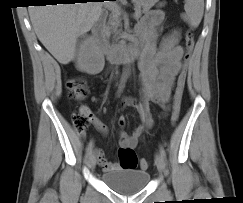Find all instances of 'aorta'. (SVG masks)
Masks as SVG:
<instances>
[{
    "instance_id": "aorta-1",
    "label": "aorta",
    "mask_w": 243,
    "mask_h": 203,
    "mask_svg": "<svg viewBox=\"0 0 243 203\" xmlns=\"http://www.w3.org/2000/svg\"><path fill=\"white\" fill-rule=\"evenodd\" d=\"M126 65H129L130 64V60L129 58L126 56V61H125Z\"/></svg>"
}]
</instances>
